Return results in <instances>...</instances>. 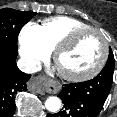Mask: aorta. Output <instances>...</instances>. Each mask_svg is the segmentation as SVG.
<instances>
[{
	"label": "aorta",
	"mask_w": 117,
	"mask_h": 117,
	"mask_svg": "<svg viewBox=\"0 0 117 117\" xmlns=\"http://www.w3.org/2000/svg\"><path fill=\"white\" fill-rule=\"evenodd\" d=\"M45 107L50 112H57L61 107V100L58 97L51 96L45 101Z\"/></svg>",
	"instance_id": "aorta-1"
}]
</instances>
